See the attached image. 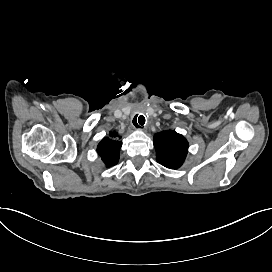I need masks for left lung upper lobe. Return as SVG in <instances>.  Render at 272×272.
<instances>
[{
    "label": "left lung upper lobe",
    "mask_w": 272,
    "mask_h": 272,
    "mask_svg": "<svg viewBox=\"0 0 272 272\" xmlns=\"http://www.w3.org/2000/svg\"><path fill=\"white\" fill-rule=\"evenodd\" d=\"M154 146L157 162L170 169L180 168L188 152V141L174 130L156 134Z\"/></svg>",
    "instance_id": "left-lung-upper-lobe-1"
}]
</instances>
